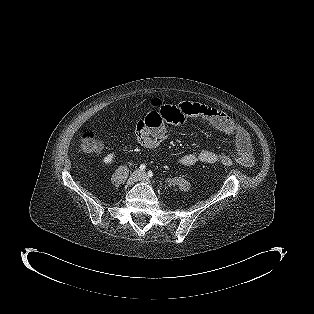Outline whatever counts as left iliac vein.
I'll return each mask as SVG.
<instances>
[{
  "label": "left iliac vein",
  "mask_w": 314,
  "mask_h": 314,
  "mask_svg": "<svg viewBox=\"0 0 314 314\" xmlns=\"http://www.w3.org/2000/svg\"><path fill=\"white\" fill-rule=\"evenodd\" d=\"M139 180H140L141 182H144V183L148 184V185H151V184H152L151 181L149 180V178L147 177V175H146L145 172H141V173H140Z\"/></svg>",
  "instance_id": "1"
}]
</instances>
